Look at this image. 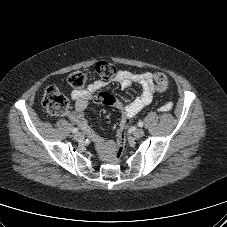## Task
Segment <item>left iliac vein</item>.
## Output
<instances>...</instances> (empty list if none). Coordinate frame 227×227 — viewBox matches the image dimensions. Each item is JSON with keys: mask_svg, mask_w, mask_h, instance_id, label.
Segmentation results:
<instances>
[{"mask_svg": "<svg viewBox=\"0 0 227 227\" xmlns=\"http://www.w3.org/2000/svg\"><path fill=\"white\" fill-rule=\"evenodd\" d=\"M136 138H141L144 135V131L142 129H136L133 133Z\"/></svg>", "mask_w": 227, "mask_h": 227, "instance_id": "4c4485c4", "label": "left iliac vein"}]
</instances>
